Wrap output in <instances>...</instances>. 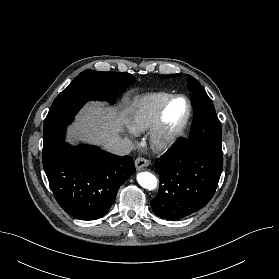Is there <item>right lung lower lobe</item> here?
<instances>
[{"label":"right lung lower lobe","instance_id":"1","mask_svg":"<svg viewBox=\"0 0 279 279\" xmlns=\"http://www.w3.org/2000/svg\"><path fill=\"white\" fill-rule=\"evenodd\" d=\"M51 190L66 213L81 220L107 214L121 184L134 172L131 156L92 145L62 143L43 163Z\"/></svg>","mask_w":279,"mask_h":279}]
</instances>
